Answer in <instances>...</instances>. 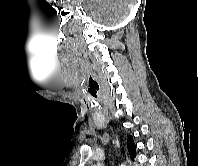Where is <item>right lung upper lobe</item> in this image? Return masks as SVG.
<instances>
[{
    "label": "right lung upper lobe",
    "instance_id": "obj_1",
    "mask_svg": "<svg viewBox=\"0 0 198 166\" xmlns=\"http://www.w3.org/2000/svg\"><path fill=\"white\" fill-rule=\"evenodd\" d=\"M128 150H129L130 157L132 158V160H134V157L136 156V146H135L132 136H129Z\"/></svg>",
    "mask_w": 198,
    "mask_h": 166
}]
</instances>
